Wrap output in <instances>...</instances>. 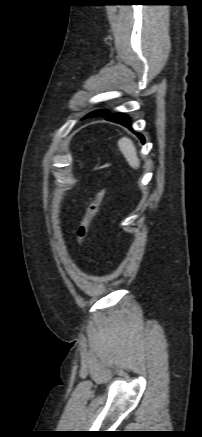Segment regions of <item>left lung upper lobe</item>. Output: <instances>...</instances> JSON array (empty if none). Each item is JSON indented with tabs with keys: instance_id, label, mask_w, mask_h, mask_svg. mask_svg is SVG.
Wrapping results in <instances>:
<instances>
[{
	"instance_id": "obj_1",
	"label": "left lung upper lobe",
	"mask_w": 202,
	"mask_h": 437,
	"mask_svg": "<svg viewBox=\"0 0 202 437\" xmlns=\"http://www.w3.org/2000/svg\"><path fill=\"white\" fill-rule=\"evenodd\" d=\"M109 112L106 110H97L94 112H91L90 114H88L87 116H85V118L88 117H98V116H105L106 114H108Z\"/></svg>"
}]
</instances>
